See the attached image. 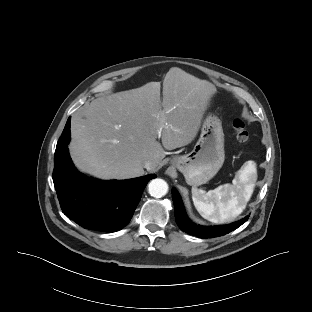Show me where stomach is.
<instances>
[{"label":"stomach","mask_w":312,"mask_h":312,"mask_svg":"<svg viewBox=\"0 0 312 312\" xmlns=\"http://www.w3.org/2000/svg\"><path fill=\"white\" fill-rule=\"evenodd\" d=\"M224 160L222 123L216 115L208 114L193 150L188 154L173 157L171 165L184 175L188 185L199 186L217 174Z\"/></svg>","instance_id":"stomach-1"}]
</instances>
